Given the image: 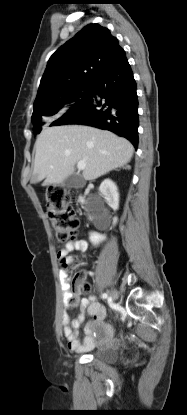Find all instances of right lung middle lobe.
Returning <instances> with one entry per match:
<instances>
[{"label":"right lung middle lobe","mask_w":187,"mask_h":415,"mask_svg":"<svg viewBox=\"0 0 187 415\" xmlns=\"http://www.w3.org/2000/svg\"><path fill=\"white\" fill-rule=\"evenodd\" d=\"M91 91L92 84L89 83L68 91L60 100L54 103L34 108L32 114V122L34 123V133L40 132L41 124H43V120H45L46 117L54 116L57 113L64 111L68 107H72L79 100L88 96L91 93Z\"/></svg>","instance_id":"dd1d6c3e"}]
</instances>
